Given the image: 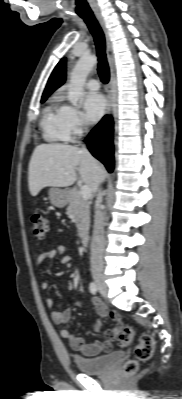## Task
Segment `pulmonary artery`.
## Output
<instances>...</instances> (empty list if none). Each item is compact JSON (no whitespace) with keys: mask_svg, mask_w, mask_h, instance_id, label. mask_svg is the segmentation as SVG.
<instances>
[{"mask_svg":"<svg viewBox=\"0 0 182 399\" xmlns=\"http://www.w3.org/2000/svg\"><path fill=\"white\" fill-rule=\"evenodd\" d=\"M86 87L89 90L97 91L100 88V83L96 79H90V80L87 81Z\"/></svg>","mask_w":182,"mask_h":399,"instance_id":"1","label":"pulmonary artery"}]
</instances>
